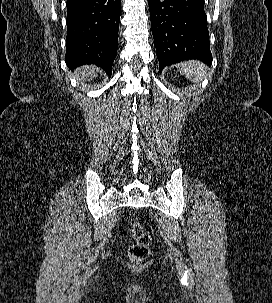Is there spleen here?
Returning <instances> with one entry per match:
<instances>
[{
    "label": "spleen",
    "instance_id": "1",
    "mask_svg": "<svg viewBox=\"0 0 272 303\" xmlns=\"http://www.w3.org/2000/svg\"><path fill=\"white\" fill-rule=\"evenodd\" d=\"M178 69L182 75L193 81L200 83L207 77V66L200 61H186L178 65Z\"/></svg>",
    "mask_w": 272,
    "mask_h": 303
}]
</instances>
